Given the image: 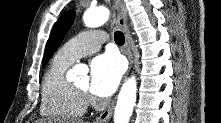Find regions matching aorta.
Masks as SVG:
<instances>
[{
	"mask_svg": "<svg viewBox=\"0 0 221 123\" xmlns=\"http://www.w3.org/2000/svg\"><path fill=\"white\" fill-rule=\"evenodd\" d=\"M109 19V10L105 7L88 9L83 20L87 27L94 28L103 25ZM75 67L74 71H78ZM137 82L135 76L128 78L123 84L114 110V123H129L136 103Z\"/></svg>",
	"mask_w": 221,
	"mask_h": 123,
	"instance_id": "aorta-1",
	"label": "aorta"
}]
</instances>
